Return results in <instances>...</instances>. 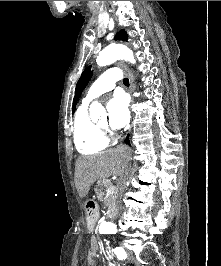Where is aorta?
<instances>
[{"instance_id":"1","label":"aorta","mask_w":221,"mask_h":266,"mask_svg":"<svg viewBox=\"0 0 221 266\" xmlns=\"http://www.w3.org/2000/svg\"><path fill=\"white\" fill-rule=\"evenodd\" d=\"M117 60H126L131 63L135 62L133 53L126 46L121 44H111L105 47L97 56L96 62L98 66H107L114 63ZM105 114L104 108L94 102L90 106V116L92 119L97 118L99 115ZM99 230L105 233H116L118 231L115 223L108 221L99 226Z\"/></svg>"}]
</instances>
